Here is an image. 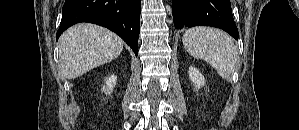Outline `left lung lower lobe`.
Instances as JSON below:
<instances>
[{
	"instance_id": "left-lung-lower-lobe-1",
	"label": "left lung lower lobe",
	"mask_w": 299,
	"mask_h": 130,
	"mask_svg": "<svg viewBox=\"0 0 299 130\" xmlns=\"http://www.w3.org/2000/svg\"><path fill=\"white\" fill-rule=\"evenodd\" d=\"M176 29L192 26H213L238 39L230 0H172Z\"/></svg>"
}]
</instances>
